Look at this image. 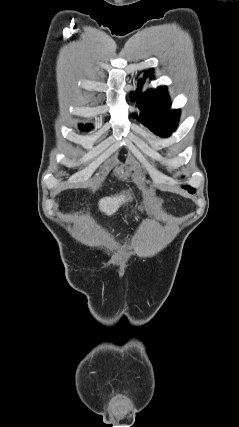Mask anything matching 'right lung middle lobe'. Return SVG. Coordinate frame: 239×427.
I'll list each match as a JSON object with an SVG mask.
<instances>
[{
  "mask_svg": "<svg viewBox=\"0 0 239 427\" xmlns=\"http://www.w3.org/2000/svg\"><path fill=\"white\" fill-rule=\"evenodd\" d=\"M80 128H81V130L85 129L86 131H88V130H90L91 126L90 125H85V127H83V125H81Z\"/></svg>",
  "mask_w": 239,
  "mask_h": 427,
  "instance_id": "obj_1",
  "label": "right lung middle lobe"
}]
</instances>
